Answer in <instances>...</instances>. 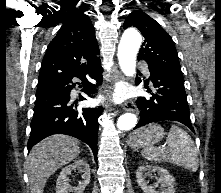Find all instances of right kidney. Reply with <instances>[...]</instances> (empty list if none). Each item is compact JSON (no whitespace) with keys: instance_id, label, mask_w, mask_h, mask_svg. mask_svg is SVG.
<instances>
[{"instance_id":"ca27d5eb","label":"right kidney","mask_w":221,"mask_h":193,"mask_svg":"<svg viewBox=\"0 0 221 193\" xmlns=\"http://www.w3.org/2000/svg\"><path fill=\"white\" fill-rule=\"evenodd\" d=\"M78 170L82 173V181L79 182L77 187H72L68 183V176L71 175L72 171ZM90 182V167L86 160L78 159L74 163L66 166L60 172V175L56 182V193H83L86 186Z\"/></svg>"}]
</instances>
